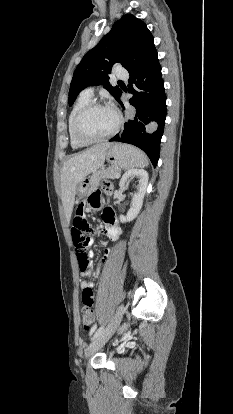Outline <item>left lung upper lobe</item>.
Masks as SVG:
<instances>
[{
  "mask_svg": "<svg viewBox=\"0 0 233 414\" xmlns=\"http://www.w3.org/2000/svg\"><path fill=\"white\" fill-rule=\"evenodd\" d=\"M156 52L153 36L146 24L134 15H125L111 31L91 49L74 71L69 90V106L87 86L104 85L118 101L121 89L109 83V74L116 63L129 73L140 68Z\"/></svg>",
  "mask_w": 233,
  "mask_h": 414,
  "instance_id": "obj_1",
  "label": "left lung upper lobe"
}]
</instances>
